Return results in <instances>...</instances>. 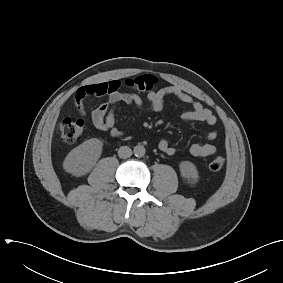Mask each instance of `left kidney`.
<instances>
[{"label": "left kidney", "instance_id": "1", "mask_svg": "<svg viewBox=\"0 0 283 283\" xmlns=\"http://www.w3.org/2000/svg\"><path fill=\"white\" fill-rule=\"evenodd\" d=\"M181 176L187 179L190 183H196L199 175L196 166L190 161H182L179 164Z\"/></svg>", "mask_w": 283, "mask_h": 283}]
</instances>
